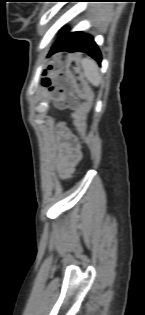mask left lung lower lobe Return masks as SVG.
Here are the masks:
<instances>
[{
	"label": "left lung lower lobe",
	"instance_id": "1",
	"mask_svg": "<svg viewBox=\"0 0 145 315\" xmlns=\"http://www.w3.org/2000/svg\"><path fill=\"white\" fill-rule=\"evenodd\" d=\"M60 51L85 52L98 63H101V53L93 37L82 32L68 33L64 31V34L52 46L48 56Z\"/></svg>",
	"mask_w": 145,
	"mask_h": 315
}]
</instances>
